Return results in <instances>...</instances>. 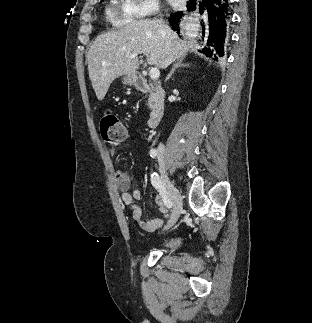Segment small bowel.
I'll return each instance as SVG.
<instances>
[{
  "label": "small bowel",
  "mask_w": 312,
  "mask_h": 323,
  "mask_svg": "<svg viewBox=\"0 0 312 323\" xmlns=\"http://www.w3.org/2000/svg\"><path fill=\"white\" fill-rule=\"evenodd\" d=\"M109 153L112 156L115 155L116 148H110ZM115 180L117 188L121 191V199L130 209L131 219L134 223L139 224L146 232H153L163 225L164 220L169 217V209L164 205L159 197L156 198V205L161 217L154 220H144L142 218V209L137 204V200L141 198V192L139 190L129 191L131 187L130 175L122 171H116Z\"/></svg>",
  "instance_id": "1"
}]
</instances>
